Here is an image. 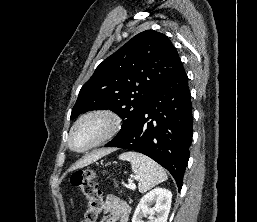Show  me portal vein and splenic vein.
I'll list each match as a JSON object with an SVG mask.
<instances>
[{
  "label": "portal vein and splenic vein",
  "instance_id": "18ae733b",
  "mask_svg": "<svg viewBox=\"0 0 257 222\" xmlns=\"http://www.w3.org/2000/svg\"><path fill=\"white\" fill-rule=\"evenodd\" d=\"M128 188H130V189H135V188H136V186H135V184H134V183H130V184L128 185Z\"/></svg>",
  "mask_w": 257,
  "mask_h": 222
}]
</instances>
